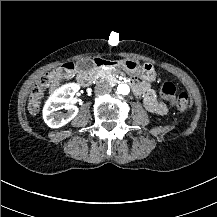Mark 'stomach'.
Wrapping results in <instances>:
<instances>
[{"label": "stomach", "mask_w": 217, "mask_h": 217, "mask_svg": "<svg viewBox=\"0 0 217 217\" xmlns=\"http://www.w3.org/2000/svg\"><path fill=\"white\" fill-rule=\"evenodd\" d=\"M119 67L128 74H136L141 79L153 82L156 79V72L152 63H144L141 65L138 60L124 59L120 61Z\"/></svg>", "instance_id": "stomach-1"}]
</instances>
